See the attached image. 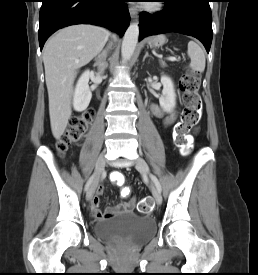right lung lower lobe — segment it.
I'll use <instances>...</instances> for the list:
<instances>
[{
    "label": "right lung lower lobe",
    "mask_w": 258,
    "mask_h": 275,
    "mask_svg": "<svg viewBox=\"0 0 258 275\" xmlns=\"http://www.w3.org/2000/svg\"><path fill=\"white\" fill-rule=\"evenodd\" d=\"M125 0H42L39 45L56 30L74 24H93L124 35L130 16Z\"/></svg>",
    "instance_id": "right-lung-lower-lobe-1"
}]
</instances>
